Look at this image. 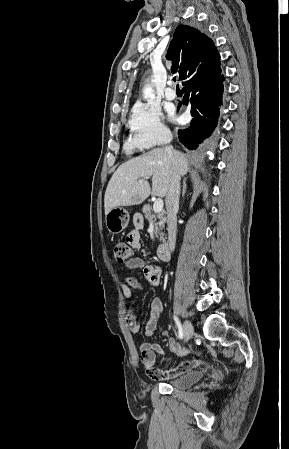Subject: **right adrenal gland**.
I'll return each mask as SVG.
<instances>
[{
	"mask_svg": "<svg viewBox=\"0 0 289 449\" xmlns=\"http://www.w3.org/2000/svg\"><path fill=\"white\" fill-rule=\"evenodd\" d=\"M186 189H187V184H186V180H184L183 186H182V197H184V195L186 193Z\"/></svg>",
	"mask_w": 289,
	"mask_h": 449,
	"instance_id": "1",
	"label": "right adrenal gland"
}]
</instances>
